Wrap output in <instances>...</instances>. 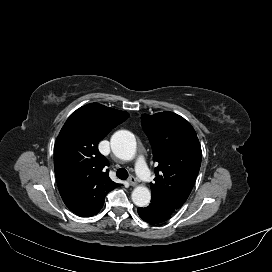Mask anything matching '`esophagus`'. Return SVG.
<instances>
[{
  "label": "esophagus",
  "instance_id": "1",
  "mask_svg": "<svg viewBox=\"0 0 272 272\" xmlns=\"http://www.w3.org/2000/svg\"><path fill=\"white\" fill-rule=\"evenodd\" d=\"M128 182L131 186H136L137 185V180L134 176H130L128 179Z\"/></svg>",
  "mask_w": 272,
  "mask_h": 272
}]
</instances>
